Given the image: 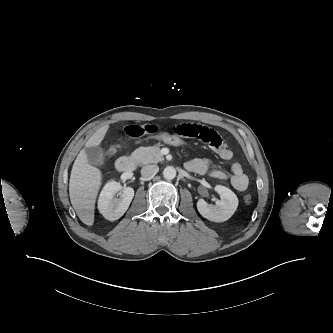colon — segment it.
<instances>
[{
    "label": "colon",
    "instance_id": "5ec220e1",
    "mask_svg": "<svg viewBox=\"0 0 333 333\" xmlns=\"http://www.w3.org/2000/svg\"><path fill=\"white\" fill-rule=\"evenodd\" d=\"M150 139H155L158 141L163 142L166 145H169L173 148H185L188 146V140L186 138H183L177 134L173 133H157L152 136H149ZM120 148L118 144L111 145L106 152L107 156H112L116 151ZM244 202L246 204H250L252 202L251 195L247 194L244 196Z\"/></svg>",
    "mask_w": 333,
    "mask_h": 333
}]
</instances>
